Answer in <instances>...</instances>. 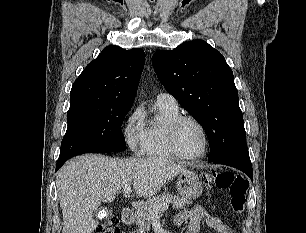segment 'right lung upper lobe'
Returning a JSON list of instances; mask_svg holds the SVG:
<instances>
[{
    "label": "right lung upper lobe",
    "instance_id": "1",
    "mask_svg": "<svg viewBox=\"0 0 306 233\" xmlns=\"http://www.w3.org/2000/svg\"><path fill=\"white\" fill-rule=\"evenodd\" d=\"M144 64L145 53L141 49L106 47L75 80L70 105L87 102L132 106Z\"/></svg>",
    "mask_w": 306,
    "mask_h": 233
}]
</instances>
